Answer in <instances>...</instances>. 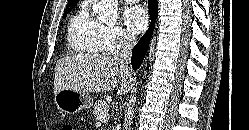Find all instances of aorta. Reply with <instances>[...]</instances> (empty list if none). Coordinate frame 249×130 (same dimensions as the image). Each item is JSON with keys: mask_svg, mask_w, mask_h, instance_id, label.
Here are the masks:
<instances>
[{"mask_svg": "<svg viewBox=\"0 0 249 130\" xmlns=\"http://www.w3.org/2000/svg\"><path fill=\"white\" fill-rule=\"evenodd\" d=\"M117 0H97L93 5V12L98 20L110 23L117 18Z\"/></svg>", "mask_w": 249, "mask_h": 130, "instance_id": "1", "label": "aorta"}]
</instances>
